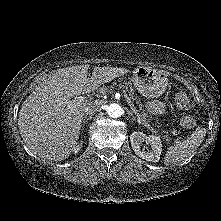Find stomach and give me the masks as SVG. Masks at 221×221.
Returning <instances> with one entry per match:
<instances>
[{
    "instance_id": "0dacf381",
    "label": "stomach",
    "mask_w": 221,
    "mask_h": 221,
    "mask_svg": "<svg viewBox=\"0 0 221 221\" xmlns=\"http://www.w3.org/2000/svg\"><path fill=\"white\" fill-rule=\"evenodd\" d=\"M132 82L138 92L149 100L146 108L151 114L165 113L166 104L158 100L168 84V77L164 71L139 66L133 71Z\"/></svg>"
}]
</instances>
